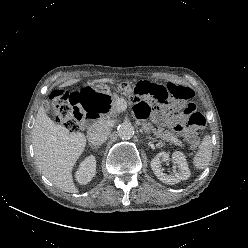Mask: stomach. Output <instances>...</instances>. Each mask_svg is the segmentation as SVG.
Masks as SVG:
<instances>
[{
    "label": "stomach",
    "mask_w": 248,
    "mask_h": 248,
    "mask_svg": "<svg viewBox=\"0 0 248 248\" xmlns=\"http://www.w3.org/2000/svg\"><path fill=\"white\" fill-rule=\"evenodd\" d=\"M71 105L79 111L94 113L97 117H110L116 109L115 99L100 87H76L70 95Z\"/></svg>",
    "instance_id": "0dacf381"
}]
</instances>
